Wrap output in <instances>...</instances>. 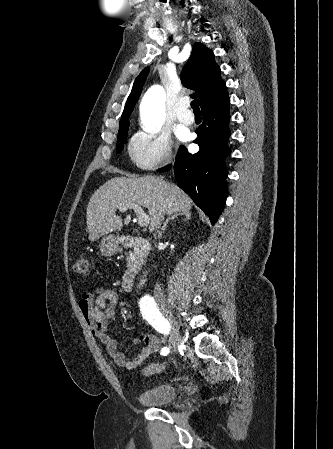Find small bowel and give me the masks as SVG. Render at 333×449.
<instances>
[{
	"instance_id": "c3829d8e",
	"label": "small bowel",
	"mask_w": 333,
	"mask_h": 449,
	"mask_svg": "<svg viewBox=\"0 0 333 449\" xmlns=\"http://www.w3.org/2000/svg\"><path fill=\"white\" fill-rule=\"evenodd\" d=\"M119 296L110 288H96L85 292L79 300L78 306L86 324L94 336L99 338L105 346L106 352L113 362L129 370L140 366L153 352L158 350L160 340L155 335L140 334L133 338L132 344L140 341L143 347L132 359L126 358V351L119 349L118 342L108 334L109 327L115 322Z\"/></svg>"
}]
</instances>
